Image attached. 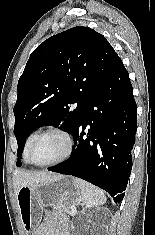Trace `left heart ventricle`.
I'll return each instance as SVG.
<instances>
[{
    "label": "left heart ventricle",
    "mask_w": 155,
    "mask_h": 235,
    "mask_svg": "<svg viewBox=\"0 0 155 235\" xmlns=\"http://www.w3.org/2000/svg\"><path fill=\"white\" fill-rule=\"evenodd\" d=\"M66 151L65 139L55 133L41 137L33 146L31 159L38 164H45L60 158Z\"/></svg>",
    "instance_id": "1"
}]
</instances>
